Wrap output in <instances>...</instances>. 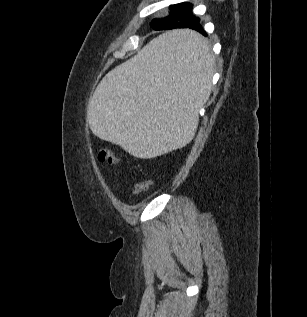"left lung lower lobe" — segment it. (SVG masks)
I'll list each match as a JSON object with an SVG mask.
<instances>
[{"mask_svg":"<svg viewBox=\"0 0 307 317\" xmlns=\"http://www.w3.org/2000/svg\"><path fill=\"white\" fill-rule=\"evenodd\" d=\"M168 23H169L168 21L166 22V21L153 20V22L151 23V26L154 30L174 29ZM176 28H189L201 33L204 36H207V33L204 31V29L201 26L200 19L196 16H194L191 20H189L188 23L181 24L180 26ZM200 39H201V36L198 33L188 30L186 33H183L180 36L170 39L168 41V48L170 51H178L184 48H199V47L203 49V47L200 44Z\"/></svg>","mask_w":307,"mask_h":317,"instance_id":"obj_1","label":"left lung lower lobe"}]
</instances>
